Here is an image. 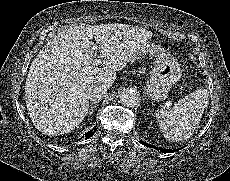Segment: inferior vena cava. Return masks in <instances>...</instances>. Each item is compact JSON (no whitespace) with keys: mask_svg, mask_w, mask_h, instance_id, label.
<instances>
[{"mask_svg":"<svg viewBox=\"0 0 230 181\" xmlns=\"http://www.w3.org/2000/svg\"><path fill=\"white\" fill-rule=\"evenodd\" d=\"M107 94V88L104 86H94L89 89L86 94V97L90 101H97L102 99Z\"/></svg>","mask_w":230,"mask_h":181,"instance_id":"602c4592","label":"inferior vena cava"}]
</instances>
